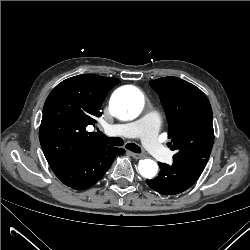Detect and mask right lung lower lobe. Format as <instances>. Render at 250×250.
<instances>
[{
    "instance_id": "1",
    "label": "right lung lower lobe",
    "mask_w": 250,
    "mask_h": 250,
    "mask_svg": "<svg viewBox=\"0 0 250 250\" xmlns=\"http://www.w3.org/2000/svg\"><path fill=\"white\" fill-rule=\"evenodd\" d=\"M124 152V149L108 146L91 152L75 164L58 166L52 170L65 185L83 190L99 181L110 168L114 158Z\"/></svg>"
}]
</instances>
